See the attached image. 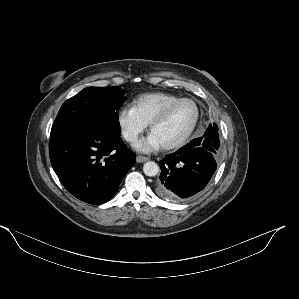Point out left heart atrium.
Segmentation results:
<instances>
[{"mask_svg": "<svg viewBox=\"0 0 299 299\" xmlns=\"http://www.w3.org/2000/svg\"><path fill=\"white\" fill-rule=\"evenodd\" d=\"M160 147L161 144L153 134H150L147 138L142 139L135 145V148L141 152L155 151L158 150Z\"/></svg>", "mask_w": 299, "mask_h": 299, "instance_id": "obj_1", "label": "left heart atrium"}]
</instances>
